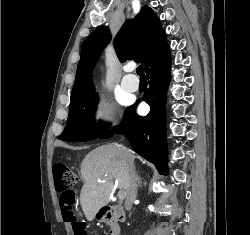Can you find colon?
<instances>
[{
	"mask_svg": "<svg viewBox=\"0 0 250 235\" xmlns=\"http://www.w3.org/2000/svg\"><path fill=\"white\" fill-rule=\"evenodd\" d=\"M53 174L56 189L60 193L63 219L71 225L73 235H88L85 224L78 219L74 210L75 193L72 188L78 181L76 172L65 163H56Z\"/></svg>",
	"mask_w": 250,
	"mask_h": 235,
	"instance_id": "5ec220e1",
	"label": "colon"
}]
</instances>
